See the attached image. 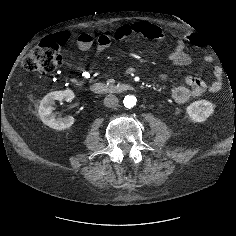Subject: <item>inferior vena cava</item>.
<instances>
[{"label": "inferior vena cava", "mask_w": 236, "mask_h": 236, "mask_svg": "<svg viewBox=\"0 0 236 236\" xmlns=\"http://www.w3.org/2000/svg\"><path fill=\"white\" fill-rule=\"evenodd\" d=\"M118 104V98L115 95H107L104 99L106 107H115Z\"/></svg>", "instance_id": "obj_1"}]
</instances>
